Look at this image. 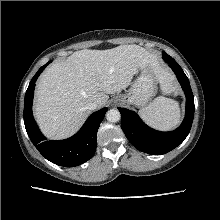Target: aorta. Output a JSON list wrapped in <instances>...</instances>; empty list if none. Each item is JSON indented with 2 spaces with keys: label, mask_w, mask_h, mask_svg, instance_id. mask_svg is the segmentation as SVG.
<instances>
[{
  "label": "aorta",
  "mask_w": 220,
  "mask_h": 220,
  "mask_svg": "<svg viewBox=\"0 0 220 220\" xmlns=\"http://www.w3.org/2000/svg\"><path fill=\"white\" fill-rule=\"evenodd\" d=\"M121 118V114L117 109H110L107 113H106V119L109 122H117L119 121Z\"/></svg>",
  "instance_id": "aorta-1"
}]
</instances>
